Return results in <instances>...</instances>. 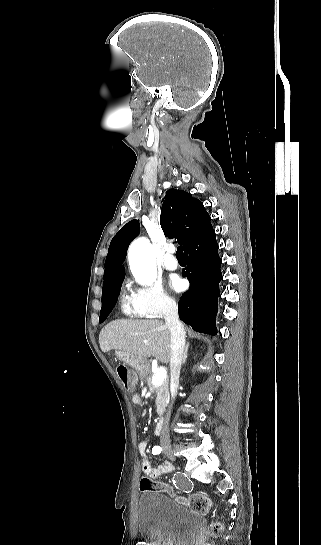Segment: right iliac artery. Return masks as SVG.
Here are the masks:
<instances>
[{
  "instance_id": "right-iliac-artery-1",
  "label": "right iliac artery",
  "mask_w": 321,
  "mask_h": 545,
  "mask_svg": "<svg viewBox=\"0 0 321 545\" xmlns=\"http://www.w3.org/2000/svg\"><path fill=\"white\" fill-rule=\"evenodd\" d=\"M161 451H162V448L159 447V446H155V447L152 449V453H153L154 455L160 454Z\"/></svg>"
}]
</instances>
